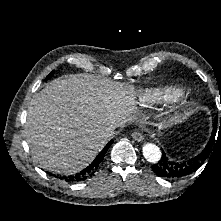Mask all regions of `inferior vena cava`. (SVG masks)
<instances>
[{"label": "inferior vena cava", "mask_w": 221, "mask_h": 221, "mask_svg": "<svg viewBox=\"0 0 221 221\" xmlns=\"http://www.w3.org/2000/svg\"><path fill=\"white\" fill-rule=\"evenodd\" d=\"M115 134H116L115 128H108V129L104 132L103 136H104V138H106V139H111V138H113V137L115 136Z\"/></svg>", "instance_id": "obj_1"}]
</instances>
